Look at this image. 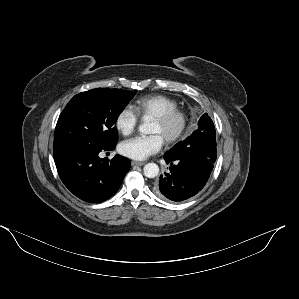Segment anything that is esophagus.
<instances>
[{
  "label": "esophagus",
  "instance_id": "esophagus-1",
  "mask_svg": "<svg viewBox=\"0 0 299 299\" xmlns=\"http://www.w3.org/2000/svg\"><path fill=\"white\" fill-rule=\"evenodd\" d=\"M145 164V162H141V161H132L131 165L132 166H143Z\"/></svg>",
  "mask_w": 299,
  "mask_h": 299
}]
</instances>
